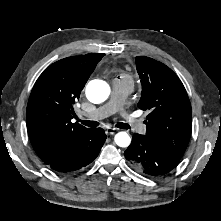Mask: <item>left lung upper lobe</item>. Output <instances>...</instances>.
<instances>
[{
  "instance_id": "obj_1",
  "label": "left lung upper lobe",
  "mask_w": 221,
  "mask_h": 221,
  "mask_svg": "<svg viewBox=\"0 0 221 221\" xmlns=\"http://www.w3.org/2000/svg\"><path fill=\"white\" fill-rule=\"evenodd\" d=\"M136 68L142 83L137 106L150 112L144 136L182 158L192 130L191 104L182 82L169 67L149 57L137 56Z\"/></svg>"
}]
</instances>
